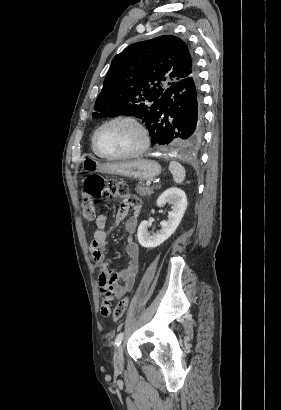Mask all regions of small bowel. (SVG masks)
Returning <instances> with one entry per match:
<instances>
[{"label":"small bowel","mask_w":281,"mask_h":410,"mask_svg":"<svg viewBox=\"0 0 281 410\" xmlns=\"http://www.w3.org/2000/svg\"><path fill=\"white\" fill-rule=\"evenodd\" d=\"M140 208V200L136 196L128 194L124 196L115 216V222L117 223L124 219L130 210L133 211V215L125 222L128 262L126 267L121 270L118 275L111 271L109 263L106 260V215L100 213L95 219L96 231L93 234L90 250L93 260L99 267V285L102 288L101 313L105 317L109 316L112 301L129 293L135 284L139 266V249L133 240V234L137 227V217ZM104 306L108 309V313L106 314L102 312Z\"/></svg>","instance_id":"obj_1"}]
</instances>
